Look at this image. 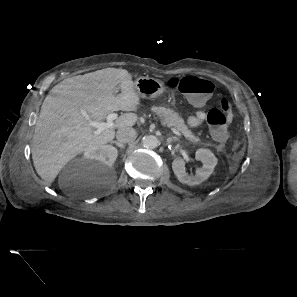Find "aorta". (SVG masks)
<instances>
[{
  "instance_id": "aorta-1",
  "label": "aorta",
  "mask_w": 297,
  "mask_h": 297,
  "mask_svg": "<svg viewBox=\"0 0 297 297\" xmlns=\"http://www.w3.org/2000/svg\"><path fill=\"white\" fill-rule=\"evenodd\" d=\"M141 144L146 149H155L159 145V140L154 135H148L142 138Z\"/></svg>"
}]
</instances>
